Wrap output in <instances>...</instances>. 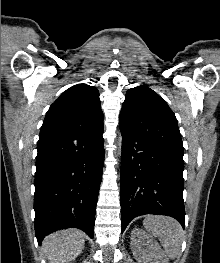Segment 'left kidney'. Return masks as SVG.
I'll list each match as a JSON object with an SVG mask.
<instances>
[{"mask_svg": "<svg viewBox=\"0 0 220 263\" xmlns=\"http://www.w3.org/2000/svg\"><path fill=\"white\" fill-rule=\"evenodd\" d=\"M143 246H146L148 250ZM131 249L138 263H169L158 242L140 228L132 230Z\"/></svg>", "mask_w": 220, "mask_h": 263, "instance_id": "5707ae66", "label": "left kidney"}]
</instances>
